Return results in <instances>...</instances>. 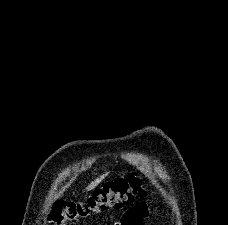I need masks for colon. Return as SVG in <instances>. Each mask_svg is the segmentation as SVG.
<instances>
[{"label":"colon","mask_w":228,"mask_h":225,"mask_svg":"<svg viewBox=\"0 0 228 225\" xmlns=\"http://www.w3.org/2000/svg\"><path fill=\"white\" fill-rule=\"evenodd\" d=\"M146 190L138 177H126L107 183L84 201L58 200L49 213L52 225H73L105 209H122L135 198H145Z\"/></svg>","instance_id":"obj_1"}]
</instances>
